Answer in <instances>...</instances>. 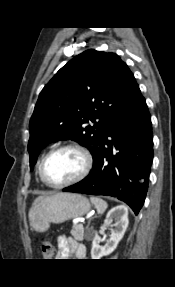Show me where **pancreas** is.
Returning a JSON list of instances; mask_svg holds the SVG:
<instances>
[{
    "label": "pancreas",
    "instance_id": "1",
    "mask_svg": "<svg viewBox=\"0 0 175 287\" xmlns=\"http://www.w3.org/2000/svg\"><path fill=\"white\" fill-rule=\"evenodd\" d=\"M70 233L76 240L82 241L84 239V227H83V225L74 224Z\"/></svg>",
    "mask_w": 175,
    "mask_h": 287
}]
</instances>
